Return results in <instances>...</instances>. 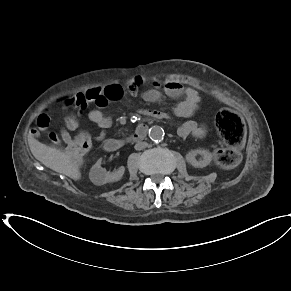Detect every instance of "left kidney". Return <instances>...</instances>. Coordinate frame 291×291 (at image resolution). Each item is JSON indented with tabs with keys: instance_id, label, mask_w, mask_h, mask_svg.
I'll list each match as a JSON object with an SVG mask.
<instances>
[{
	"instance_id": "1",
	"label": "left kidney",
	"mask_w": 291,
	"mask_h": 291,
	"mask_svg": "<svg viewBox=\"0 0 291 291\" xmlns=\"http://www.w3.org/2000/svg\"><path fill=\"white\" fill-rule=\"evenodd\" d=\"M201 155V160H196V156ZM212 160V154L208 150L197 149L191 150L186 154V161L195 168H204L210 164Z\"/></svg>"
}]
</instances>
